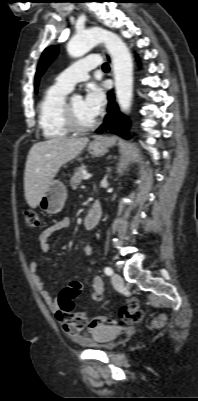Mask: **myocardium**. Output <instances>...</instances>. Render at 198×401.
<instances>
[{
	"mask_svg": "<svg viewBox=\"0 0 198 401\" xmlns=\"http://www.w3.org/2000/svg\"><path fill=\"white\" fill-rule=\"evenodd\" d=\"M63 120L70 132L74 133H85L93 130L98 125V120H94L88 125L80 124L75 116V113L71 107L70 102H65L63 107Z\"/></svg>",
	"mask_w": 198,
	"mask_h": 401,
	"instance_id": "1",
	"label": "myocardium"
}]
</instances>
